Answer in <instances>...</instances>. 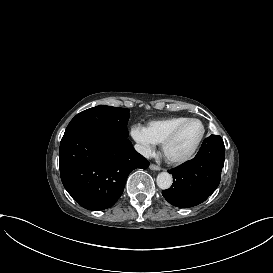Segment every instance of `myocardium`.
<instances>
[{
	"instance_id": "f54148a6",
	"label": "myocardium",
	"mask_w": 273,
	"mask_h": 273,
	"mask_svg": "<svg viewBox=\"0 0 273 273\" xmlns=\"http://www.w3.org/2000/svg\"><path fill=\"white\" fill-rule=\"evenodd\" d=\"M195 120L200 121L202 123V125H203L202 136L200 137V139L198 140L196 145L185 156H182V157H172V156H170L168 154V147L175 140V138L177 137L178 133L183 128V126L186 125L187 123H189L191 121H195ZM207 132H208L207 123L203 119H201L199 117H189L186 120L180 122L179 124H177L170 131V133L164 138V140L161 143V149H162V153H163L164 158L166 159L167 162H169L170 164H173V165H182V164L188 163L189 161H191L196 156L197 152L199 151L202 143L204 142V140L206 138Z\"/></svg>"
}]
</instances>
